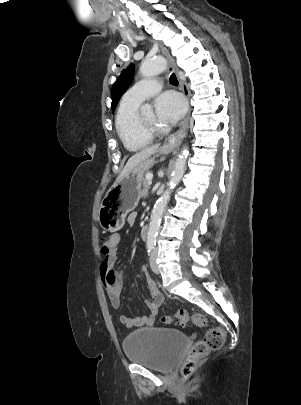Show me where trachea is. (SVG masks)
Masks as SVG:
<instances>
[{
    "label": "trachea",
    "instance_id": "3493384b",
    "mask_svg": "<svg viewBox=\"0 0 301 405\" xmlns=\"http://www.w3.org/2000/svg\"><path fill=\"white\" fill-rule=\"evenodd\" d=\"M170 83L172 84V85H174V86H177L178 85V80H177V77H176V75L173 73L172 75H171V77H170Z\"/></svg>",
    "mask_w": 301,
    "mask_h": 405
}]
</instances>
